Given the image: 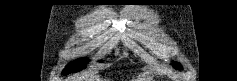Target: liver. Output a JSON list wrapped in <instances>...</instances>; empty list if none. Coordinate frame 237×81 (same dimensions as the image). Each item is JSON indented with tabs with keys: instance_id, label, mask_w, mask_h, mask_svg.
<instances>
[{
	"instance_id": "1",
	"label": "liver",
	"mask_w": 237,
	"mask_h": 81,
	"mask_svg": "<svg viewBox=\"0 0 237 81\" xmlns=\"http://www.w3.org/2000/svg\"><path fill=\"white\" fill-rule=\"evenodd\" d=\"M91 79H94V78L82 75V76L74 77L70 81H100L98 79H96V80H91Z\"/></svg>"
}]
</instances>
